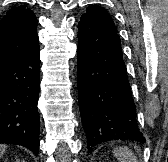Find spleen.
Segmentation results:
<instances>
[{
  "mask_svg": "<svg viewBox=\"0 0 168 162\" xmlns=\"http://www.w3.org/2000/svg\"><path fill=\"white\" fill-rule=\"evenodd\" d=\"M113 153L119 162H138L136 156L128 147H117Z\"/></svg>",
  "mask_w": 168,
  "mask_h": 162,
  "instance_id": "1",
  "label": "spleen"
}]
</instances>
